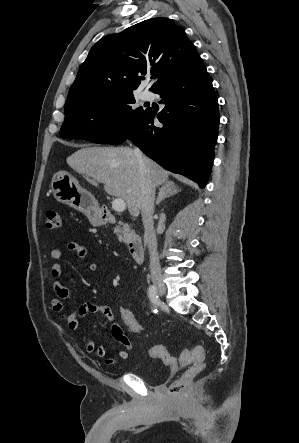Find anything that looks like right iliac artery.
Wrapping results in <instances>:
<instances>
[{"label":"right iliac artery","mask_w":299,"mask_h":443,"mask_svg":"<svg viewBox=\"0 0 299 443\" xmlns=\"http://www.w3.org/2000/svg\"><path fill=\"white\" fill-rule=\"evenodd\" d=\"M148 296L150 301L155 304L158 305L159 304V296L157 293V289L155 286L151 285L148 289Z\"/></svg>","instance_id":"1"}]
</instances>
